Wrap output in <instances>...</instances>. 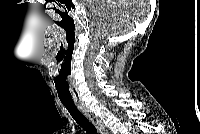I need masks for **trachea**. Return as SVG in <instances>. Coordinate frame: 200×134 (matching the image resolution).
Wrapping results in <instances>:
<instances>
[{
  "label": "trachea",
  "instance_id": "trachea-1",
  "mask_svg": "<svg viewBox=\"0 0 200 134\" xmlns=\"http://www.w3.org/2000/svg\"><path fill=\"white\" fill-rule=\"evenodd\" d=\"M61 102L66 107V109L76 121V123L79 124V126L82 127L87 134H97L95 126L80 112V110L77 108L73 101Z\"/></svg>",
  "mask_w": 200,
  "mask_h": 134
}]
</instances>
